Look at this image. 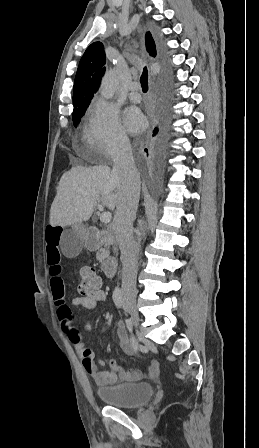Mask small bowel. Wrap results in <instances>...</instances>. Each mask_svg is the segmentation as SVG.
Returning a JSON list of instances; mask_svg holds the SVG:
<instances>
[{
    "label": "small bowel",
    "mask_w": 259,
    "mask_h": 448,
    "mask_svg": "<svg viewBox=\"0 0 259 448\" xmlns=\"http://www.w3.org/2000/svg\"><path fill=\"white\" fill-rule=\"evenodd\" d=\"M62 234L63 229L60 226L49 225L46 228L45 254L47 265L49 267L50 286L54 304L57 308V318L61 329L73 343L75 350L80 355L85 371L89 374L97 387L110 386L122 381H138L144 376L148 378H156L159 375V364L156 361L150 364L146 374H143L140 370H127L112 358L109 359L111 371H102L99 369V366H104L105 362L103 360H99L98 362L94 361L93 353L86 348L79 330L73 325L72 312L65 300V284L60 275L62 270L60 252ZM105 297L103 291L98 295H79L71 300V305L92 310L96 308L100 302H103ZM85 327L87 330H90V323H86ZM117 337L123 353L132 356L135 350L133 344L128 339L125 326L122 322L117 323Z\"/></svg>",
    "instance_id": "1"
}]
</instances>
